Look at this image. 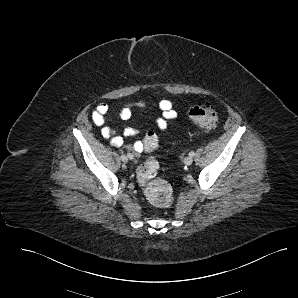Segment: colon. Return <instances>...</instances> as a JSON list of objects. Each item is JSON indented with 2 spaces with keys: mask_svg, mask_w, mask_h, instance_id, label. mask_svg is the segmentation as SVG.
<instances>
[{
  "mask_svg": "<svg viewBox=\"0 0 298 298\" xmlns=\"http://www.w3.org/2000/svg\"><path fill=\"white\" fill-rule=\"evenodd\" d=\"M190 119L205 130H213L218 125V115L210 105H196L189 110ZM143 150L153 153L158 147V137L153 132H148L143 139ZM158 161L150 156L136 171L138 183L143 189L146 199L154 206L169 207L174 199L170 184L157 177Z\"/></svg>",
  "mask_w": 298,
  "mask_h": 298,
  "instance_id": "colon-1",
  "label": "colon"
}]
</instances>
